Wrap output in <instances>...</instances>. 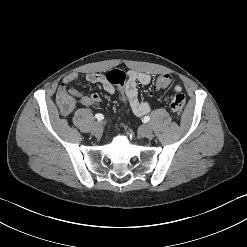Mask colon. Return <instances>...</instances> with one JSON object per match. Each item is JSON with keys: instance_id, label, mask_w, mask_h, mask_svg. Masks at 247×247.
I'll return each instance as SVG.
<instances>
[{"instance_id": "obj_1", "label": "colon", "mask_w": 247, "mask_h": 247, "mask_svg": "<svg viewBox=\"0 0 247 247\" xmlns=\"http://www.w3.org/2000/svg\"><path fill=\"white\" fill-rule=\"evenodd\" d=\"M107 80L113 84L117 85L118 99L121 103L123 109H128L130 107V102L128 101L126 82L128 80L125 72L114 69L107 73ZM171 82V77L169 75H162L158 77L155 87V90H160L166 88ZM58 103L62 111H65L70 108L72 104V99L67 95L63 94L58 98ZM185 106V96L182 93H177L173 96L170 102V108L177 116H180L183 112Z\"/></svg>"}]
</instances>
